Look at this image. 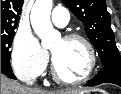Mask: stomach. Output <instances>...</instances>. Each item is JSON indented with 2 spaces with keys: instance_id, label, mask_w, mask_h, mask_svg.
I'll list each match as a JSON object with an SVG mask.
<instances>
[{
  "instance_id": "1",
  "label": "stomach",
  "mask_w": 121,
  "mask_h": 94,
  "mask_svg": "<svg viewBox=\"0 0 121 94\" xmlns=\"http://www.w3.org/2000/svg\"><path fill=\"white\" fill-rule=\"evenodd\" d=\"M80 94H108V93L101 89H93V90L81 92Z\"/></svg>"
}]
</instances>
